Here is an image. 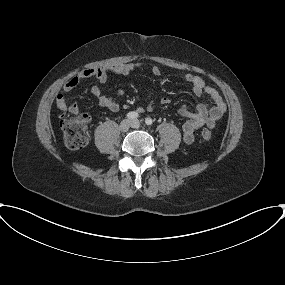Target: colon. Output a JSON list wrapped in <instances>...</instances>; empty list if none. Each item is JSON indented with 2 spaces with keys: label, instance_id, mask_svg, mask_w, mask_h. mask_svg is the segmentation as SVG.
Here are the masks:
<instances>
[{
  "label": "colon",
  "instance_id": "1",
  "mask_svg": "<svg viewBox=\"0 0 285 285\" xmlns=\"http://www.w3.org/2000/svg\"><path fill=\"white\" fill-rule=\"evenodd\" d=\"M61 129L63 131L64 143L71 150H79L84 148L89 140L88 118L85 115L78 117H66L61 121ZM201 138L209 141L212 133L209 129L201 131Z\"/></svg>",
  "mask_w": 285,
  "mask_h": 285
}]
</instances>
